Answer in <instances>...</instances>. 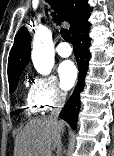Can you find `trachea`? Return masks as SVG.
Returning <instances> with one entry per match:
<instances>
[{
  "instance_id": "obj_1",
  "label": "trachea",
  "mask_w": 114,
  "mask_h": 156,
  "mask_svg": "<svg viewBox=\"0 0 114 156\" xmlns=\"http://www.w3.org/2000/svg\"><path fill=\"white\" fill-rule=\"evenodd\" d=\"M53 16V20L55 21V23H57V25L60 24L59 19L57 18V16L52 13ZM61 36L63 37L64 40H66L69 43H73L72 37L70 32L67 29L61 28Z\"/></svg>"
}]
</instances>
